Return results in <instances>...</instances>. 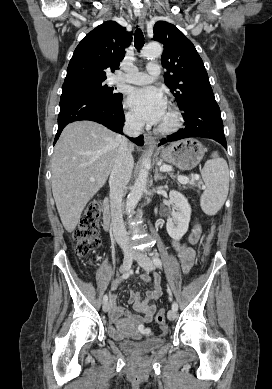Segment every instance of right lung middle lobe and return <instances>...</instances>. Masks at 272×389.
<instances>
[{"instance_id":"dd1d6c3e","label":"right lung middle lobe","mask_w":272,"mask_h":389,"mask_svg":"<svg viewBox=\"0 0 272 389\" xmlns=\"http://www.w3.org/2000/svg\"><path fill=\"white\" fill-rule=\"evenodd\" d=\"M103 80L82 81L62 86V94L84 93L96 96L108 102H119L123 96L121 93L113 92L114 88L104 85Z\"/></svg>"}]
</instances>
